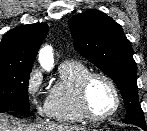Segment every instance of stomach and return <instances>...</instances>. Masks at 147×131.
Here are the masks:
<instances>
[{"instance_id": "1", "label": "stomach", "mask_w": 147, "mask_h": 131, "mask_svg": "<svg viewBox=\"0 0 147 131\" xmlns=\"http://www.w3.org/2000/svg\"><path fill=\"white\" fill-rule=\"evenodd\" d=\"M86 131H97V130H86Z\"/></svg>"}]
</instances>
